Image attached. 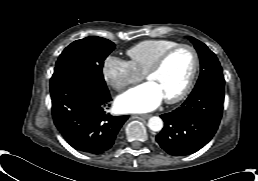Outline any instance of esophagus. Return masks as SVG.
I'll use <instances>...</instances> for the list:
<instances>
[{"label": "esophagus", "mask_w": 258, "mask_h": 181, "mask_svg": "<svg viewBox=\"0 0 258 181\" xmlns=\"http://www.w3.org/2000/svg\"><path fill=\"white\" fill-rule=\"evenodd\" d=\"M140 117H141L142 119H148V118L151 117V115H150V114H143V115H140Z\"/></svg>", "instance_id": "obj_1"}]
</instances>
